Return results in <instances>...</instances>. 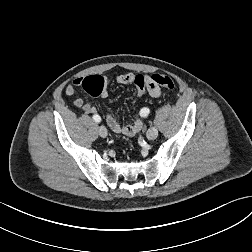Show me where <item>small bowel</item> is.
I'll use <instances>...</instances> for the list:
<instances>
[{"label": "small bowel", "mask_w": 252, "mask_h": 252, "mask_svg": "<svg viewBox=\"0 0 252 252\" xmlns=\"http://www.w3.org/2000/svg\"><path fill=\"white\" fill-rule=\"evenodd\" d=\"M137 76L144 77L146 81L147 90L152 97L157 98L161 95V89L159 88V86L155 84L151 80V77L147 75H136L133 73H125L118 75L116 79L117 82L121 84H133V83L135 84ZM83 79L84 78L82 77L75 78L70 84L66 86L65 93L68 96L74 97L76 93V88L81 86ZM101 96L103 98H106L108 96L107 88L103 90ZM73 104L75 107L82 109L86 114L92 115L97 113L96 108L93 105H91L90 103H85L79 97H75ZM106 122L112 131L127 136H133L142 128V122L139 119H136L132 123H129L127 125H121L111 113H108L106 115Z\"/></svg>", "instance_id": "small-bowel-1"}]
</instances>
